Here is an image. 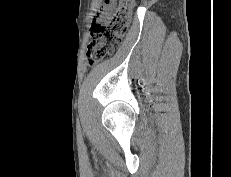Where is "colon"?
Returning a JSON list of instances; mask_svg holds the SVG:
<instances>
[{
    "instance_id": "obj_1",
    "label": "colon",
    "mask_w": 231,
    "mask_h": 177,
    "mask_svg": "<svg viewBox=\"0 0 231 177\" xmlns=\"http://www.w3.org/2000/svg\"><path fill=\"white\" fill-rule=\"evenodd\" d=\"M105 3H115L116 8L104 22L92 26L87 47L90 66L108 58L117 49L127 32L136 0H105Z\"/></svg>"
}]
</instances>
